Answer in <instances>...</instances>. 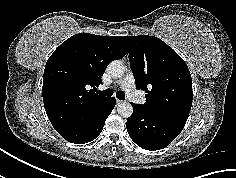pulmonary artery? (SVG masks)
Instances as JSON below:
<instances>
[{"label": "pulmonary artery", "mask_w": 236, "mask_h": 178, "mask_svg": "<svg viewBox=\"0 0 236 178\" xmlns=\"http://www.w3.org/2000/svg\"><path fill=\"white\" fill-rule=\"evenodd\" d=\"M121 88L126 92L127 96L138 102L141 98V93L135 87V78L131 72H129L120 83Z\"/></svg>", "instance_id": "e3ab8cb5"}]
</instances>
